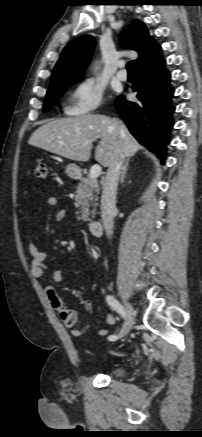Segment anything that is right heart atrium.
<instances>
[{"label":"right heart atrium","instance_id":"1","mask_svg":"<svg viewBox=\"0 0 202 437\" xmlns=\"http://www.w3.org/2000/svg\"><path fill=\"white\" fill-rule=\"evenodd\" d=\"M104 89L93 80L77 84L69 95L67 111L74 115L91 114L103 102Z\"/></svg>","mask_w":202,"mask_h":437}]
</instances>
